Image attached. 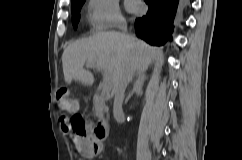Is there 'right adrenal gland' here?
<instances>
[{"label":"right adrenal gland","instance_id":"right-adrenal-gland-1","mask_svg":"<svg viewBox=\"0 0 242 160\" xmlns=\"http://www.w3.org/2000/svg\"><path fill=\"white\" fill-rule=\"evenodd\" d=\"M145 80H146L145 77H138L135 80L132 90L129 92L128 96L125 99V104L129 101V99L134 94H138V95L143 94V86H144Z\"/></svg>","mask_w":242,"mask_h":160}]
</instances>
